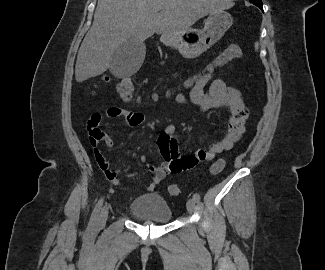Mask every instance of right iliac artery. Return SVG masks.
Instances as JSON below:
<instances>
[{
  "label": "right iliac artery",
  "instance_id": "obj_1",
  "mask_svg": "<svg viewBox=\"0 0 325 270\" xmlns=\"http://www.w3.org/2000/svg\"><path fill=\"white\" fill-rule=\"evenodd\" d=\"M103 202H104V198H101L98 201V203L96 204V206L92 212L91 218H90V224H94L96 222L99 212L101 210V207L103 205Z\"/></svg>",
  "mask_w": 325,
  "mask_h": 270
}]
</instances>
